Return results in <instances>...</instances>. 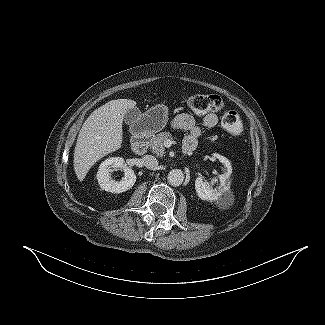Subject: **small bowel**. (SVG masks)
Listing matches in <instances>:
<instances>
[{"mask_svg": "<svg viewBox=\"0 0 325 325\" xmlns=\"http://www.w3.org/2000/svg\"><path fill=\"white\" fill-rule=\"evenodd\" d=\"M218 123V118L214 113H208L203 118L200 124L196 122L193 116L187 113L177 115L172 126L176 129L187 131L188 134L184 139L183 147L190 146L195 149L197 146L198 137L201 135L202 129L214 128Z\"/></svg>", "mask_w": 325, "mask_h": 325, "instance_id": "small-bowel-1", "label": "small bowel"}]
</instances>
